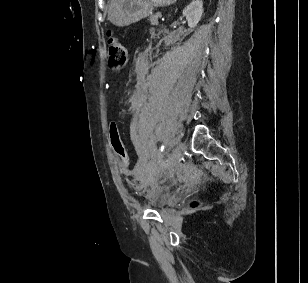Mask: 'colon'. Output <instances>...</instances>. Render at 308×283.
Masks as SVG:
<instances>
[{
  "label": "colon",
  "instance_id": "5ec220e1",
  "mask_svg": "<svg viewBox=\"0 0 308 283\" xmlns=\"http://www.w3.org/2000/svg\"><path fill=\"white\" fill-rule=\"evenodd\" d=\"M108 36V61L113 69H122L126 66L128 56L125 47L119 39L114 35V32L109 30ZM109 137L111 146L124 165L128 164V152L123 142L118 125L116 122H111L109 125Z\"/></svg>",
  "mask_w": 308,
  "mask_h": 283
}]
</instances>
